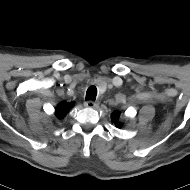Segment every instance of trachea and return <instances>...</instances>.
<instances>
[{
	"mask_svg": "<svg viewBox=\"0 0 190 190\" xmlns=\"http://www.w3.org/2000/svg\"><path fill=\"white\" fill-rule=\"evenodd\" d=\"M96 96H97V88L95 86H90L86 92V100L94 101L96 99Z\"/></svg>",
	"mask_w": 190,
	"mask_h": 190,
	"instance_id": "3493384b",
	"label": "trachea"
}]
</instances>
